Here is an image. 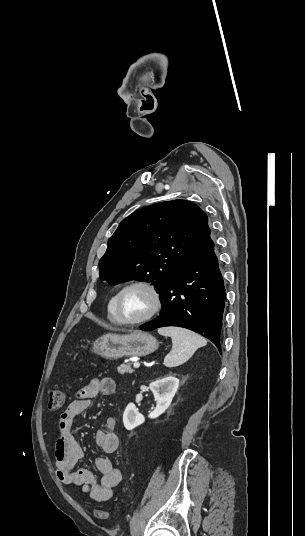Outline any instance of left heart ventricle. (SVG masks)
Returning a JSON list of instances; mask_svg holds the SVG:
<instances>
[{
  "instance_id": "obj_1",
  "label": "left heart ventricle",
  "mask_w": 305,
  "mask_h": 536,
  "mask_svg": "<svg viewBox=\"0 0 305 536\" xmlns=\"http://www.w3.org/2000/svg\"><path fill=\"white\" fill-rule=\"evenodd\" d=\"M152 304V297L145 288L131 287L122 295L121 317L128 321L141 319L151 310Z\"/></svg>"
}]
</instances>
